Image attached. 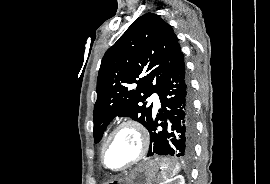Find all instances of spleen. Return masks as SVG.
I'll use <instances>...</instances> for the list:
<instances>
[{
  "instance_id": "1",
  "label": "spleen",
  "mask_w": 270,
  "mask_h": 184,
  "mask_svg": "<svg viewBox=\"0 0 270 184\" xmlns=\"http://www.w3.org/2000/svg\"><path fill=\"white\" fill-rule=\"evenodd\" d=\"M178 170H179V169H176V170L173 172V174H172L171 176H164L163 181H166V180H168L169 178L173 177V176L178 172ZM160 184H162V183H160Z\"/></svg>"
}]
</instances>
